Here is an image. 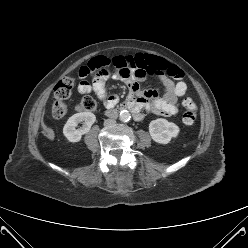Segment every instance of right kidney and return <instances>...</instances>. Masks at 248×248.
Wrapping results in <instances>:
<instances>
[{
  "instance_id": "ca27d5eb",
  "label": "right kidney",
  "mask_w": 248,
  "mask_h": 248,
  "mask_svg": "<svg viewBox=\"0 0 248 248\" xmlns=\"http://www.w3.org/2000/svg\"><path fill=\"white\" fill-rule=\"evenodd\" d=\"M82 121H84L83 126L76 129L78 123ZM95 121L96 117L91 112L76 113L66 122L63 128V134L70 142H78L81 140L82 135L90 130Z\"/></svg>"
}]
</instances>
